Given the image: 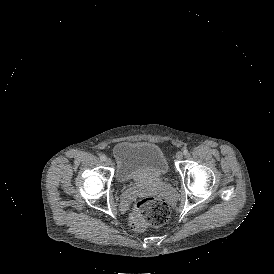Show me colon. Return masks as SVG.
<instances>
[{
  "label": "colon",
  "instance_id": "5ec220e1",
  "mask_svg": "<svg viewBox=\"0 0 274 274\" xmlns=\"http://www.w3.org/2000/svg\"><path fill=\"white\" fill-rule=\"evenodd\" d=\"M170 218V208L161 198H141L131 209L129 227L136 232H142L149 227L164 225Z\"/></svg>",
  "mask_w": 274,
  "mask_h": 274
}]
</instances>
